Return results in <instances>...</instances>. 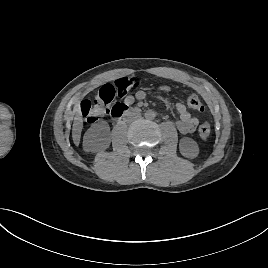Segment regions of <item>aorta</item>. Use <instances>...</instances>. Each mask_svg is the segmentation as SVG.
Instances as JSON below:
<instances>
[{"label": "aorta", "mask_w": 268, "mask_h": 268, "mask_svg": "<svg viewBox=\"0 0 268 268\" xmlns=\"http://www.w3.org/2000/svg\"><path fill=\"white\" fill-rule=\"evenodd\" d=\"M156 117V113L153 110H147L145 112V118L148 120H153Z\"/></svg>", "instance_id": "762f6f07"}]
</instances>
